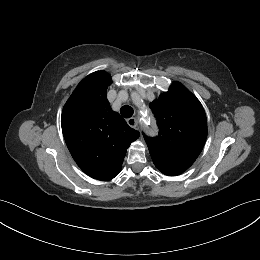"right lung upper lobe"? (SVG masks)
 Returning <instances> with one entry per match:
<instances>
[{"label": "right lung upper lobe", "mask_w": 260, "mask_h": 260, "mask_svg": "<svg viewBox=\"0 0 260 260\" xmlns=\"http://www.w3.org/2000/svg\"><path fill=\"white\" fill-rule=\"evenodd\" d=\"M111 76L96 71L85 77L66 102L61 126L67 147L88 176L102 181L120 171L126 149L139 132L111 109L106 97Z\"/></svg>", "instance_id": "1"}]
</instances>
